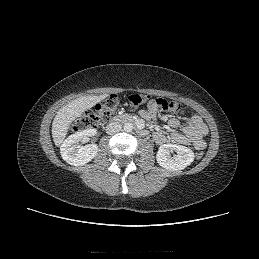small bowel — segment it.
<instances>
[{"instance_id":"obj_1","label":"small bowel","mask_w":259,"mask_h":259,"mask_svg":"<svg viewBox=\"0 0 259 259\" xmlns=\"http://www.w3.org/2000/svg\"><path fill=\"white\" fill-rule=\"evenodd\" d=\"M157 109L148 105L146 109L140 111L141 117L146 120L155 119ZM181 123L178 118L172 117L168 120V128L171 130L169 135L161 130H157L153 137L157 144L172 142L182 145H192L197 150H202L206 147L205 136L208 133V128L198 115L191 116L183 128L178 131Z\"/></svg>"}]
</instances>
